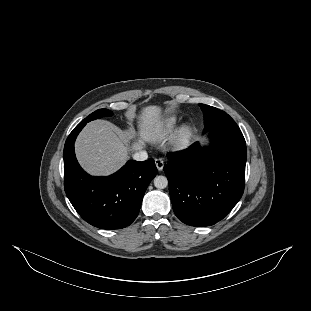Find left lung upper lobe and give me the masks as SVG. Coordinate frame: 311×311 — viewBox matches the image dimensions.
<instances>
[{
	"label": "left lung upper lobe",
	"mask_w": 311,
	"mask_h": 311,
	"mask_svg": "<svg viewBox=\"0 0 311 311\" xmlns=\"http://www.w3.org/2000/svg\"><path fill=\"white\" fill-rule=\"evenodd\" d=\"M200 107L204 114V132L221 127H238L235 121L224 111L205 104H200Z\"/></svg>",
	"instance_id": "obj_1"
}]
</instances>
